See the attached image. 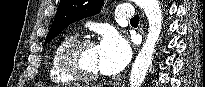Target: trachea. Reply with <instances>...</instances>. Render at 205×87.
<instances>
[{
  "label": "trachea",
  "mask_w": 205,
  "mask_h": 87,
  "mask_svg": "<svg viewBox=\"0 0 205 87\" xmlns=\"http://www.w3.org/2000/svg\"><path fill=\"white\" fill-rule=\"evenodd\" d=\"M138 21H139L138 15H135V16L130 20V22H138Z\"/></svg>",
  "instance_id": "3493384b"
}]
</instances>
